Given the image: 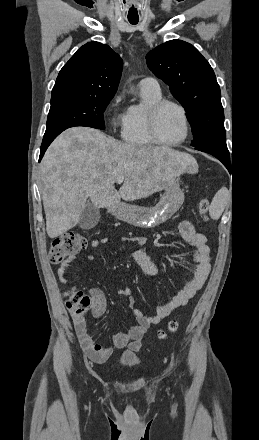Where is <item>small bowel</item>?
Returning a JSON list of instances; mask_svg holds the SVG:
<instances>
[{
    "label": "small bowel",
    "mask_w": 259,
    "mask_h": 440,
    "mask_svg": "<svg viewBox=\"0 0 259 440\" xmlns=\"http://www.w3.org/2000/svg\"><path fill=\"white\" fill-rule=\"evenodd\" d=\"M179 232L184 243L191 247V259L196 265V268L189 272L188 279L171 299L156 307L154 315H147L135 307V301L132 296L131 289H120L118 294L127 297L128 308L135 316L137 323L128 331L113 334L112 342L114 346L118 348L129 347L132 350H138L142 345L143 335L146 333L149 327L151 325L158 324L175 309L188 304L206 281L211 270L212 257L205 235L197 232L194 225L189 220H184L179 224ZM120 241L140 243L143 241V238L122 237ZM108 242V237H101L99 239L92 240L91 246L93 248H97ZM133 258L145 274L151 277L158 275V264L151 260L144 251H135ZM74 259L75 256L69 257L59 265L58 277L61 282L66 281L68 269ZM87 259L93 260L94 257L89 255ZM92 295L95 299L93 315L96 318H99L106 311L105 299L99 290H93ZM75 331L83 351L91 360L95 362H104L112 355V348L104 347L92 339L91 335L88 333L84 320L76 323Z\"/></svg>",
    "instance_id": "1"
}]
</instances>
